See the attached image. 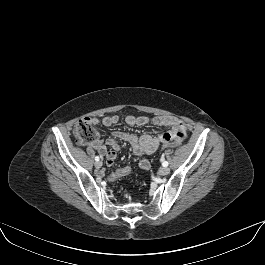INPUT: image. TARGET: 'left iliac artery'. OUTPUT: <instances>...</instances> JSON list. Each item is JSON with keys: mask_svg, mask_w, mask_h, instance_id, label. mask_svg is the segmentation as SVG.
Instances as JSON below:
<instances>
[{"mask_svg": "<svg viewBox=\"0 0 265 265\" xmlns=\"http://www.w3.org/2000/svg\"><path fill=\"white\" fill-rule=\"evenodd\" d=\"M161 161H162V165L164 167H167L168 166V162L167 161H164V157L161 158Z\"/></svg>", "mask_w": 265, "mask_h": 265, "instance_id": "left-iliac-artery-1", "label": "left iliac artery"}]
</instances>
